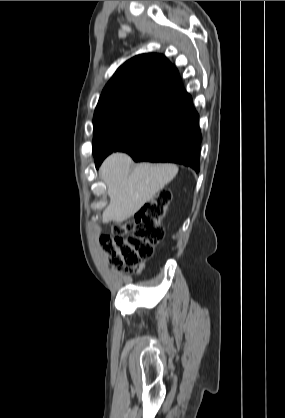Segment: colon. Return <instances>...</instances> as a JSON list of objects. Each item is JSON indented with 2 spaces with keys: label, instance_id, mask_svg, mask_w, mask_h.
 <instances>
[{
  "label": "colon",
  "instance_id": "1",
  "mask_svg": "<svg viewBox=\"0 0 285 418\" xmlns=\"http://www.w3.org/2000/svg\"><path fill=\"white\" fill-rule=\"evenodd\" d=\"M170 199L169 190H160L132 220L114 225L112 234L100 237V243L116 269L135 273L141 261L152 256L156 244L164 238L161 222L167 214Z\"/></svg>",
  "mask_w": 285,
  "mask_h": 418
}]
</instances>
